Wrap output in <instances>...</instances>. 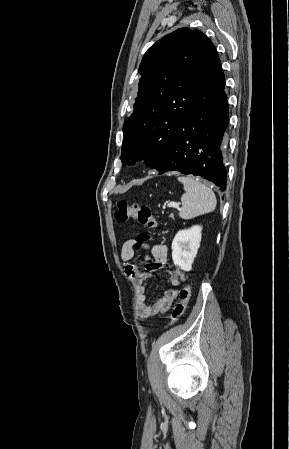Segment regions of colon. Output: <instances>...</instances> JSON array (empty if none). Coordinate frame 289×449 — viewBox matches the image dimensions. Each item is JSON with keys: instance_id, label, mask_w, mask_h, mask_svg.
I'll return each mask as SVG.
<instances>
[{"instance_id": "colon-1", "label": "colon", "mask_w": 289, "mask_h": 449, "mask_svg": "<svg viewBox=\"0 0 289 449\" xmlns=\"http://www.w3.org/2000/svg\"><path fill=\"white\" fill-rule=\"evenodd\" d=\"M115 219L119 222L134 220L150 228H155L159 224L158 217L151 212L148 206L136 203L129 204L125 200L118 201L115 211ZM149 238L150 237L148 234H139L135 238L137 242L135 245V249H139L140 244L142 242H146L147 240H149ZM190 296V287L188 285H185L180 290V301L174 308L172 320L166 327L174 325L184 315L187 305L190 301Z\"/></svg>"}]
</instances>
